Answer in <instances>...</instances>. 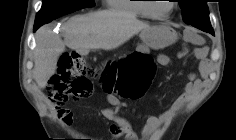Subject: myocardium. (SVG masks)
Listing matches in <instances>:
<instances>
[{"instance_id":"f54148a6","label":"myocardium","mask_w":236,"mask_h":140,"mask_svg":"<svg viewBox=\"0 0 236 140\" xmlns=\"http://www.w3.org/2000/svg\"><path fill=\"white\" fill-rule=\"evenodd\" d=\"M147 1H151V0H147ZM171 1V0H170ZM175 4L173 3V2H171L170 3V9H169V11L168 12H166L165 14H158V13H156L155 11H154V9H153V5H151V4H149V3H147L146 4V9H147V11H148V14H149V16H151V17H153V18H155V19H166V18H168L172 13H173V11L175 10Z\"/></svg>"}]
</instances>
